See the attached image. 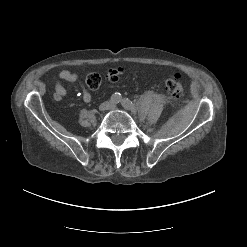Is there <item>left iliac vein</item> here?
<instances>
[{"label":"left iliac vein","instance_id":"obj_1","mask_svg":"<svg viewBox=\"0 0 247 247\" xmlns=\"http://www.w3.org/2000/svg\"><path fill=\"white\" fill-rule=\"evenodd\" d=\"M116 108H117L116 104L111 103V105H110L109 109H116Z\"/></svg>","mask_w":247,"mask_h":247}]
</instances>
